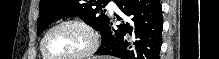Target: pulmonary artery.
Here are the masks:
<instances>
[{"label":"pulmonary artery","mask_w":219,"mask_h":59,"mask_svg":"<svg viewBox=\"0 0 219 59\" xmlns=\"http://www.w3.org/2000/svg\"><path fill=\"white\" fill-rule=\"evenodd\" d=\"M108 7H109L111 10H115V6L113 5L112 2H110V3L108 4Z\"/></svg>","instance_id":"e3ab8cb5"}]
</instances>
